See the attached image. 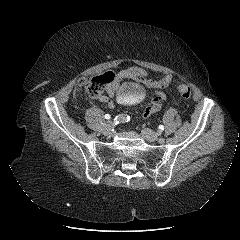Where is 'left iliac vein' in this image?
<instances>
[{
	"label": "left iliac vein",
	"mask_w": 240,
	"mask_h": 240,
	"mask_svg": "<svg viewBox=\"0 0 240 240\" xmlns=\"http://www.w3.org/2000/svg\"><path fill=\"white\" fill-rule=\"evenodd\" d=\"M141 134L143 136V138L145 140H147L148 142H154L156 140H158V134L155 133L154 131H152L151 129L148 128H144L141 130Z\"/></svg>",
	"instance_id": "obj_1"
}]
</instances>
